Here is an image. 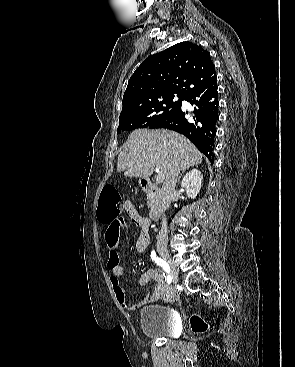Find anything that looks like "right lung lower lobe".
<instances>
[{
	"label": "right lung lower lobe",
	"mask_w": 295,
	"mask_h": 367,
	"mask_svg": "<svg viewBox=\"0 0 295 367\" xmlns=\"http://www.w3.org/2000/svg\"><path fill=\"white\" fill-rule=\"evenodd\" d=\"M184 100L195 105L193 112L184 111L180 107L149 128H167L183 134L213 163L216 125L219 119L217 78L192 91Z\"/></svg>",
	"instance_id": "obj_1"
}]
</instances>
